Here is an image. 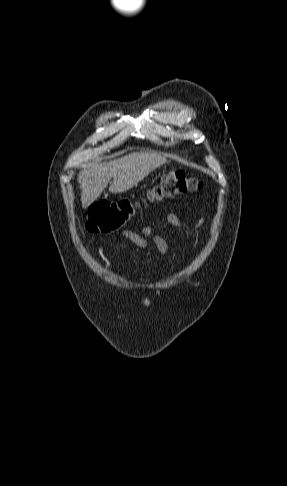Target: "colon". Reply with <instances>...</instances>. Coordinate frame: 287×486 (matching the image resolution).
<instances>
[{
	"mask_svg": "<svg viewBox=\"0 0 287 486\" xmlns=\"http://www.w3.org/2000/svg\"><path fill=\"white\" fill-rule=\"evenodd\" d=\"M203 187L202 181L177 170L167 173L150 195L159 200L200 191ZM135 209L136 206L129 199L95 202L89 210L87 229L92 233H112L133 216Z\"/></svg>",
	"mask_w": 287,
	"mask_h": 486,
	"instance_id": "1",
	"label": "colon"
}]
</instances>
